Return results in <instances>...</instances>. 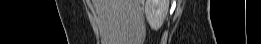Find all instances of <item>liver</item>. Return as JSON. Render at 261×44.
Segmentation results:
<instances>
[{
    "mask_svg": "<svg viewBox=\"0 0 261 44\" xmlns=\"http://www.w3.org/2000/svg\"><path fill=\"white\" fill-rule=\"evenodd\" d=\"M93 4L101 19L102 44L142 42L139 0H93Z\"/></svg>",
    "mask_w": 261,
    "mask_h": 44,
    "instance_id": "liver-1",
    "label": "liver"
}]
</instances>
